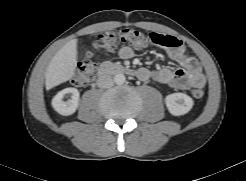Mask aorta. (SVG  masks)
Here are the masks:
<instances>
[{"label": "aorta", "mask_w": 246, "mask_h": 181, "mask_svg": "<svg viewBox=\"0 0 246 181\" xmlns=\"http://www.w3.org/2000/svg\"><path fill=\"white\" fill-rule=\"evenodd\" d=\"M125 81H126V77H125L124 74L119 73V74H116V75L114 76V82H115L117 85H122V84L125 83Z\"/></svg>", "instance_id": "obj_1"}]
</instances>
